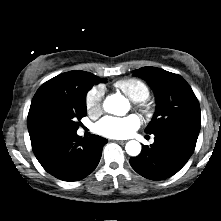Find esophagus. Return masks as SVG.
Here are the masks:
<instances>
[{"mask_svg":"<svg viewBox=\"0 0 221 221\" xmlns=\"http://www.w3.org/2000/svg\"><path fill=\"white\" fill-rule=\"evenodd\" d=\"M117 142L120 143V144H125L126 143V141H123V140L117 141Z\"/></svg>","mask_w":221,"mask_h":221,"instance_id":"34e87169","label":"esophagus"}]
</instances>
